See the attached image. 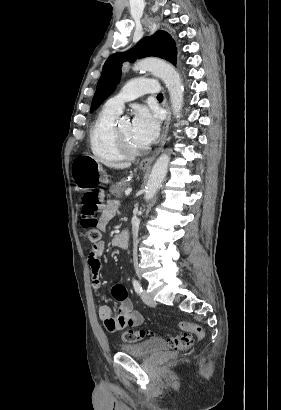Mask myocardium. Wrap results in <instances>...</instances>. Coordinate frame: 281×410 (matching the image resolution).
<instances>
[{"instance_id":"f54148a6","label":"myocardium","mask_w":281,"mask_h":410,"mask_svg":"<svg viewBox=\"0 0 281 410\" xmlns=\"http://www.w3.org/2000/svg\"><path fill=\"white\" fill-rule=\"evenodd\" d=\"M113 138L118 148L124 153L125 156H138L145 152V148H134L128 141L121 135L119 131L118 122L113 127Z\"/></svg>"}]
</instances>
